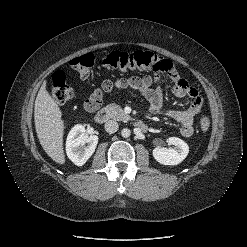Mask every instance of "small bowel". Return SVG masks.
Here are the masks:
<instances>
[{
	"instance_id": "c3829d8e",
	"label": "small bowel",
	"mask_w": 247,
	"mask_h": 247,
	"mask_svg": "<svg viewBox=\"0 0 247 247\" xmlns=\"http://www.w3.org/2000/svg\"><path fill=\"white\" fill-rule=\"evenodd\" d=\"M169 74L173 80V94L179 98L189 97L192 100L190 107L183 110L167 108L164 105L161 87L158 82L149 75L119 79L117 81L106 80L102 84V89L104 91H111L115 88H131L139 91L147 100L148 108L151 113H162L176 120L180 123L181 134L184 137H190L194 132V118L202 110L203 100L198 91L190 86L184 78L180 77L175 68L169 72ZM102 97V90L96 89L91 96L85 100L84 108L90 112L95 111L100 107Z\"/></svg>"
}]
</instances>
